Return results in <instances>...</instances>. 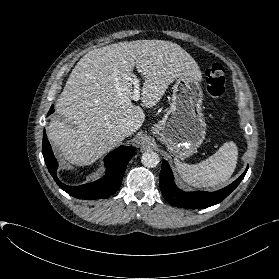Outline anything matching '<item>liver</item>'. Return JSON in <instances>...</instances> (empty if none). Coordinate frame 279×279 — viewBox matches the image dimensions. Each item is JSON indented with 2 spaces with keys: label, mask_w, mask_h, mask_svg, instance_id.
<instances>
[{
  "label": "liver",
  "mask_w": 279,
  "mask_h": 279,
  "mask_svg": "<svg viewBox=\"0 0 279 279\" xmlns=\"http://www.w3.org/2000/svg\"><path fill=\"white\" fill-rule=\"evenodd\" d=\"M143 76L142 105H156L166 89L184 74L201 79L199 66L178 44L163 40L125 41L90 51L72 70L56 101L49 140L66 161L86 166L135 133L144 123L143 109L132 103L133 69Z\"/></svg>",
  "instance_id": "1"
}]
</instances>
